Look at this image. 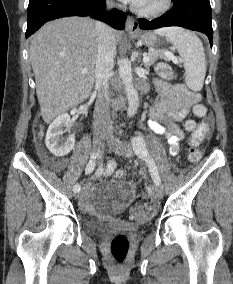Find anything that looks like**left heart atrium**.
Here are the masks:
<instances>
[{
	"instance_id": "1",
	"label": "left heart atrium",
	"mask_w": 233,
	"mask_h": 284,
	"mask_svg": "<svg viewBox=\"0 0 233 284\" xmlns=\"http://www.w3.org/2000/svg\"><path fill=\"white\" fill-rule=\"evenodd\" d=\"M122 1H124L126 3H131L134 6L140 7L144 3L145 0H122Z\"/></svg>"
}]
</instances>
